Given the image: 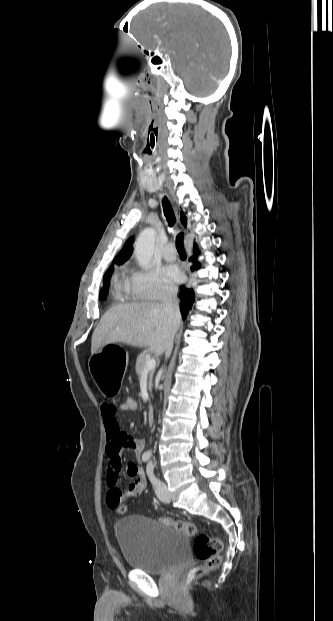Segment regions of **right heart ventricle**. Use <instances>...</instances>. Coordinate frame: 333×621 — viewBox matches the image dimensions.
<instances>
[{"label": "right heart ventricle", "mask_w": 333, "mask_h": 621, "mask_svg": "<svg viewBox=\"0 0 333 621\" xmlns=\"http://www.w3.org/2000/svg\"><path fill=\"white\" fill-rule=\"evenodd\" d=\"M113 295L120 301H134L138 299L132 290L131 277H129L126 269H123L115 276Z\"/></svg>", "instance_id": "obj_1"}]
</instances>
